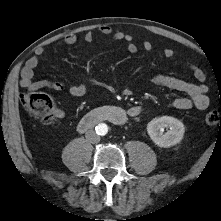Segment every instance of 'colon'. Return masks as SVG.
<instances>
[{"instance_id": "obj_1", "label": "colon", "mask_w": 221, "mask_h": 221, "mask_svg": "<svg viewBox=\"0 0 221 221\" xmlns=\"http://www.w3.org/2000/svg\"><path fill=\"white\" fill-rule=\"evenodd\" d=\"M21 104L30 115L39 118L45 124H50L56 119L54 103L45 94L24 93L21 96ZM205 121L208 125H216L221 123V115L214 110L208 111Z\"/></svg>"}]
</instances>
